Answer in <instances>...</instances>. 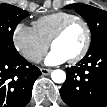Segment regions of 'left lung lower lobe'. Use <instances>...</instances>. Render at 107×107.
I'll list each match as a JSON object with an SVG mask.
<instances>
[{"mask_svg": "<svg viewBox=\"0 0 107 107\" xmlns=\"http://www.w3.org/2000/svg\"><path fill=\"white\" fill-rule=\"evenodd\" d=\"M60 95L69 107L107 106V40L90 47L76 66L67 68Z\"/></svg>", "mask_w": 107, "mask_h": 107, "instance_id": "0a47b994", "label": "left lung lower lobe"}]
</instances>
